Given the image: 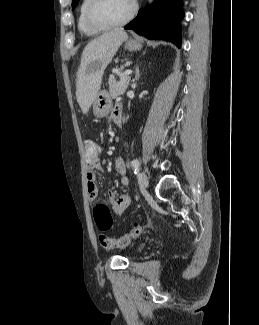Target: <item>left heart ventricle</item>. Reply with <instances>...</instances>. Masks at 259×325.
<instances>
[{"mask_svg": "<svg viewBox=\"0 0 259 325\" xmlns=\"http://www.w3.org/2000/svg\"><path fill=\"white\" fill-rule=\"evenodd\" d=\"M132 7V0H104L98 15L108 21L124 18Z\"/></svg>", "mask_w": 259, "mask_h": 325, "instance_id": "left-heart-ventricle-1", "label": "left heart ventricle"}]
</instances>
